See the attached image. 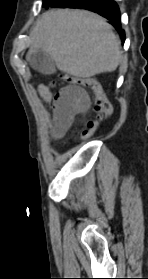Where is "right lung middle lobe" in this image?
<instances>
[{
	"label": "right lung middle lobe",
	"instance_id": "dd1d6c3e",
	"mask_svg": "<svg viewBox=\"0 0 148 279\" xmlns=\"http://www.w3.org/2000/svg\"><path fill=\"white\" fill-rule=\"evenodd\" d=\"M49 1H50V0H44V1H43V7H46L47 4L49 3Z\"/></svg>",
	"mask_w": 148,
	"mask_h": 279
}]
</instances>
